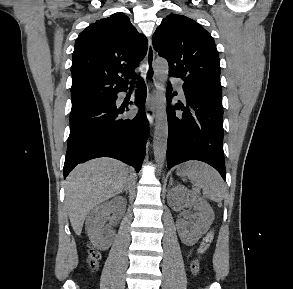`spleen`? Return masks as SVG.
<instances>
[{
	"instance_id": "3e777b00",
	"label": "spleen",
	"mask_w": 293,
	"mask_h": 289,
	"mask_svg": "<svg viewBox=\"0 0 293 289\" xmlns=\"http://www.w3.org/2000/svg\"><path fill=\"white\" fill-rule=\"evenodd\" d=\"M186 166L190 182L202 188L203 195L206 198L215 202L223 200L226 194V186L216 170L199 161H190Z\"/></svg>"
}]
</instances>
